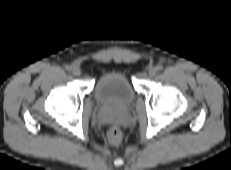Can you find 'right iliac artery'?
<instances>
[{"label": "right iliac artery", "instance_id": "82829eb1", "mask_svg": "<svg viewBox=\"0 0 231 170\" xmlns=\"http://www.w3.org/2000/svg\"><path fill=\"white\" fill-rule=\"evenodd\" d=\"M71 69H72V67H71L70 65H67V66H66V70H67V71H70Z\"/></svg>", "mask_w": 231, "mask_h": 170}]
</instances>
